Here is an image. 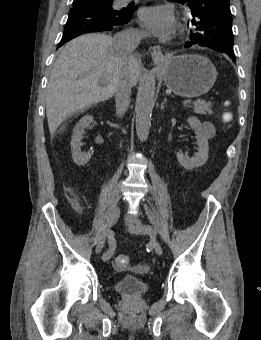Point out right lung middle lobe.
<instances>
[{
  "label": "right lung middle lobe",
  "instance_id": "right-lung-middle-lobe-1",
  "mask_svg": "<svg viewBox=\"0 0 261 340\" xmlns=\"http://www.w3.org/2000/svg\"><path fill=\"white\" fill-rule=\"evenodd\" d=\"M90 2L101 3L105 5L107 8H109L110 10H116L112 6L113 0H91Z\"/></svg>",
  "mask_w": 261,
  "mask_h": 340
}]
</instances>
